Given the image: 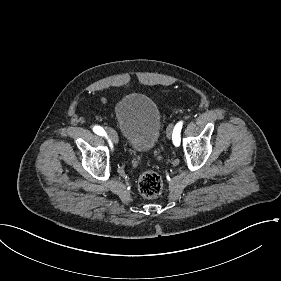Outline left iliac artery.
<instances>
[{"instance_id":"1","label":"left iliac artery","mask_w":281,"mask_h":281,"mask_svg":"<svg viewBox=\"0 0 281 281\" xmlns=\"http://www.w3.org/2000/svg\"><path fill=\"white\" fill-rule=\"evenodd\" d=\"M182 125H183V123L181 121L178 122L173 130L172 139H173V143L176 146H179V144H180V132H181Z\"/></svg>"}]
</instances>
